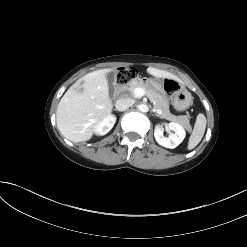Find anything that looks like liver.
Instances as JSON below:
<instances>
[{
  "mask_svg": "<svg viewBox=\"0 0 247 247\" xmlns=\"http://www.w3.org/2000/svg\"><path fill=\"white\" fill-rule=\"evenodd\" d=\"M112 69L90 72L74 83L61 98L56 123L60 133L72 142L91 139L99 121L109 116L113 104L109 97L106 73ZM147 73L157 79L169 78L181 83L170 72L149 67Z\"/></svg>",
  "mask_w": 247,
  "mask_h": 247,
  "instance_id": "6515ba94",
  "label": "liver"
}]
</instances>
